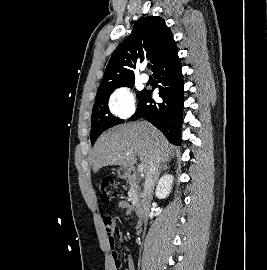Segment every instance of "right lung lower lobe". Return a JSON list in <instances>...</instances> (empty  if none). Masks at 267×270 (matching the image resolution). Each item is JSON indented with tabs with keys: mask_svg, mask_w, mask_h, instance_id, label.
<instances>
[{
	"mask_svg": "<svg viewBox=\"0 0 267 270\" xmlns=\"http://www.w3.org/2000/svg\"><path fill=\"white\" fill-rule=\"evenodd\" d=\"M153 72L163 102L156 103L151 90H145L136 113L129 120L142 117L161 130L169 142L180 145L184 89L176 44L158 61Z\"/></svg>",
	"mask_w": 267,
	"mask_h": 270,
	"instance_id": "1",
	"label": "right lung lower lobe"
}]
</instances>
